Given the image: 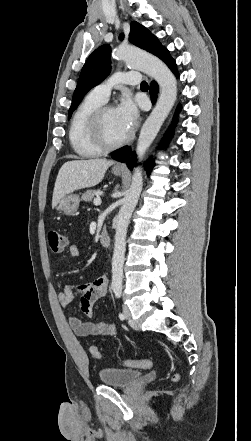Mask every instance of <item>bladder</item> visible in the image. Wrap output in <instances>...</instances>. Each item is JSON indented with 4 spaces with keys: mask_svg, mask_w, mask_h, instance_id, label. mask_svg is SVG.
Segmentation results:
<instances>
[{
    "mask_svg": "<svg viewBox=\"0 0 251 441\" xmlns=\"http://www.w3.org/2000/svg\"><path fill=\"white\" fill-rule=\"evenodd\" d=\"M98 376L103 385L125 388L133 385L141 377V372L122 368H103Z\"/></svg>",
    "mask_w": 251,
    "mask_h": 441,
    "instance_id": "bladder-1",
    "label": "bladder"
}]
</instances>
